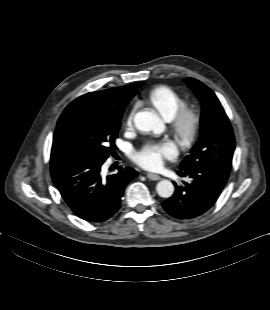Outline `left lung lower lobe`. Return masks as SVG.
<instances>
[{"label": "left lung lower lobe", "instance_id": "left-lung-lower-lobe-1", "mask_svg": "<svg viewBox=\"0 0 270 310\" xmlns=\"http://www.w3.org/2000/svg\"><path fill=\"white\" fill-rule=\"evenodd\" d=\"M178 175L188 177L189 182L177 186L172 197L162 203L164 209L174 218L192 219L207 212L218 199L228 174L211 171L203 167L180 169Z\"/></svg>", "mask_w": 270, "mask_h": 310}]
</instances>
